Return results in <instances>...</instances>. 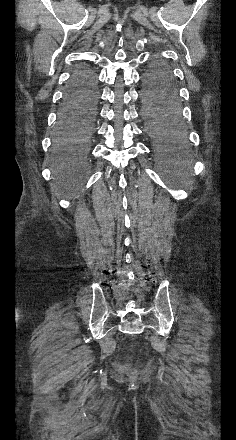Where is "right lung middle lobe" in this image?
<instances>
[{
    "mask_svg": "<svg viewBox=\"0 0 236 440\" xmlns=\"http://www.w3.org/2000/svg\"><path fill=\"white\" fill-rule=\"evenodd\" d=\"M80 91V98L83 99L81 121L74 128L58 130L53 140L54 152L62 164L82 159L87 152L88 141L92 134V122L98 98L97 84L88 82ZM72 97H75V94Z\"/></svg>",
    "mask_w": 236,
    "mask_h": 440,
    "instance_id": "1",
    "label": "right lung middle lobe"
}]
</instances>
